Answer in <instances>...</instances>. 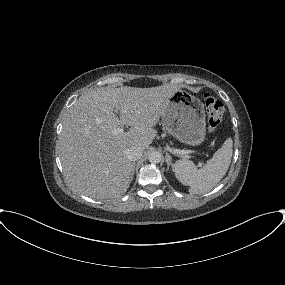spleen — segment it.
Returning a JSON list of instances; mask_svg holds the SVG:
<instances>
[{
  "label": "spleen",
  "instance_id": "spleen-1",
  "mask_svg": "<svg viewBox=\"0 0 285 285\" xmlns=\"http://www.w3.org/2000/svg\"><path fill=\"white\" fill-rule=\"evenodd\" d=\"M232 146V139H226L222 147L200 169H197L192 161L185 159L176 161L173 171L177 179L190 187L191 194L211 191L227 173L233 154Z\"/></svg>",
  "mask_w": 285,
  "mask_h": 285
}]
</instances>
